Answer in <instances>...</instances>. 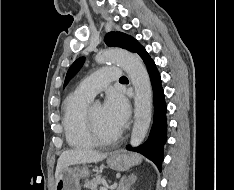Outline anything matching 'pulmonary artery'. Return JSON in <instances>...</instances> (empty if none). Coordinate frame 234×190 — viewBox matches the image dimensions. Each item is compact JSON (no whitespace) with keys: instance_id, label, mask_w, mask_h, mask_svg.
<instances>
[{"instance_id":"pulmonary-artery-1","label":"pulmonary artery","mask_w":234,"mask_h":190,"mask_svg":"<svg viewBox=\"0 0 234 190\" xmlns=\"http://www.w3.org/2000/svg\"><path fill=\"white\" fill-rule=\"evenodd\" d=\"M121 68L115 66H103L95 73L85 78L78 85L76 92L89 97H94L107 84L120 79Z\"/></svg>"}]
</instances>
